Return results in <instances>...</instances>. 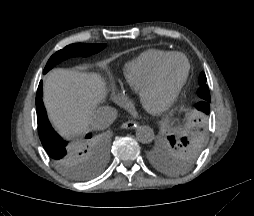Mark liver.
Instances as JSON below:
<instances>
[{"label":"liver","instance_id":"liver-1","mask_svg":"<svg viewBox=\"0 0 254 216\" xmlns=\"http://www.w3.org/2000/svg\"><path fill=\"white\" fill-rule=\"evenodd\" d=\"M105 96V84L98 74L57 68L45 77V107L54 127L67 138L89 129V118Z\"/></svg>","mask_w":254,"mask_h":216}]
</instances>
